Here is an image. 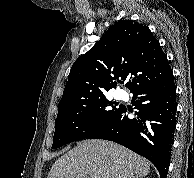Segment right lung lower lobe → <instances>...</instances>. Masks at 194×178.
I'll use <instances>...</instances> for the list:
<instances>
[{
  "label": "right lung lower lobe",
  "instance_id": "1",
  "mask_svg": "<svg viewBox=\"0 0 194 178\" xmlns=\"http://www.w3.org/2000/svg\"><path fill=\"white\" fill-rule=\"evenodd\" d=\"M135 118L129 119L127 110H120L87 138L119 143L150 160L161 178H166L176 128V86L172 70L162 79L131 91Z\"/></svg>",
  "mask_w": 194,
  "mask_h": 178
}]
</instances>
